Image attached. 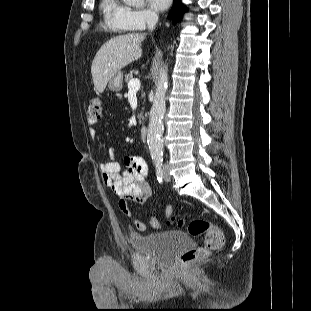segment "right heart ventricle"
Listing matches in <instances>:
<instances>
[{"label": "right heart ventricle", "mask_w": 311, "mask_h": 311, "mask_svg": "<svg viewBox=\"0 0 311 311\" xmlns=\"http://www.w3.org/2000/svg\"><path fill=\"white\" fill-rule=\"evenodd\" d=\"M100 12L107 29L118 33L132 30L127 21L129 7L122 0H101Z\"/></svg>", "instance_id": "obj_1"}]
</instances>
